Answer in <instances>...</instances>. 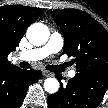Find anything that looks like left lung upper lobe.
I'll return each mask as SVG.
<instances>
[{"instance_id":"1","label":"left lung upper lobe","mask_w":108,"mask_h":108,"mask_svg":"<svg viewBox=\"0 0 108 108\" xmlns=\"http://www.w3.org/2000/svg\"><path fill=\"white\" fill-rule=\"evenodd\" d=\"M64 36L63 54L73 56L78 74L108 72V32L77 9L51 12Z\"/></svg>"}]
</instances>
